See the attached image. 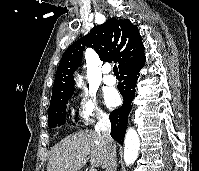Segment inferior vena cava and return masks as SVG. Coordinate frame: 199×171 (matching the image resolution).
Returning <instances> with one entry per match:
<instances>
[{
	"mask_svg": "<svg viewBox=\"0 0 199 171\" xmlns=\"http://www.w3.org/2000/svg\"><path fill=\"white\" fill-rule=\"evenodd\" d=\"M95 131L108 147V160L104 166L105 171H116V152L114 141L110 135L111 123L107 117H101L95 126Z\"/></svg>",
	"mask_w": 199,
	"mask_h": 171,
	"instance_id": "obj_1",
	"label": "inferior vena cava"
}]
</instances>
